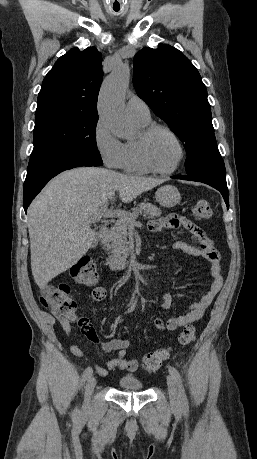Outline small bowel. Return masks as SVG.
I'll return each instance as SVG.
<instances>
[{"label": "small bowel", "mask_w": 257, "mask_h": 459, "mask_svg": "<svg viewBox=\"0 0 257 459\" xmlns=\"http://www.w3.org/2000/svg\"><path fill=\"white\" fill-rule=\"evenodd\" d=\"M183 228L188 231L195 240L199 242L198 246H193L186 242L177 241L174 243L173 248L178 251H182L191 256L202 257L209 265V273L211 282L208 290L201 296V298L190 304L188 312L179 316H171L165 323L156 318L153 320V327L157 330L167 329L174 331L180 327L191 325L201 319L206 309L212 303L223 285V277L221 273L220 257L218 251L214 248L212 242L186 217H181L175 208L168 210L167 218L161 219V217H150L149 219V230L152 232L159 231L161 229H175ZM107 296V291L102 286H96L93 290L87 293L84 297L87 298L91 303L101 302ZM160 306L167 310L171 305V297L168 293L164 292L159 297ZM77 322L82 333L91 343H100V339L97 332L90 322L85 317H74L70 320H61V326L64 332L69 335L72 329V323ZM130 345L128 339L114 338L109 341L101 343L102 350L106 353L116 351L117 356L105 363L104 366L97 365L95 367L96 372L100 376H106L109 370L114 368H120L126 371H135L140 360L126 358V350ZM70 352L76 357H83L82 350L76 346H70Z\"/></svg>", "instance_id": "c3829d8e"}]
</instances>
